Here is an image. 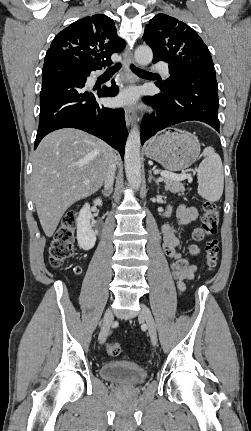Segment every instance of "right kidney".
<instances>
[{
	"label": "right kidney",
	"mask_w": 251,
	"mask_h": 431,
	"mask_svg": "<svg viewBox=\"0 0 251 431\" xmlns=\"http://www.w3.org/2000/svg\"><path fill=\"white\" fill-rule=\"evenodd\" d=\"M94 204L102 206L101 199H95ZM92 214L90 210V204L86 203L79 212V216L76 220L77 223V241L80 248L83 250H90L94 247L96 242V234L90 225Z\"/></svg>",
	"instance_id": "right-kidney-1"
}]
</instances>
